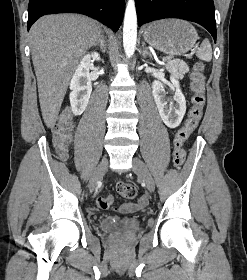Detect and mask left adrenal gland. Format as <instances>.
I'll use <instances>...</instances> for the list:
<instances>
[{
    "instance_id": "a2214340",
    "label": "left adrenal gland",
    "mask_w": 247,
    "mask_h": 280,
    "mask_svg": "<svg viewBox=\"0 0 247 280\" xmlns=\"http://www.w3.org/2000/svg\"><path fill=\"white\" fill-rule=\"evenodd\" d=\"M142 47H143V50H142V57H146V56H149L151 57V53L150 51L148 50V48L145 46V43L142 44Z\"/></svg>"
}]
</instances>
